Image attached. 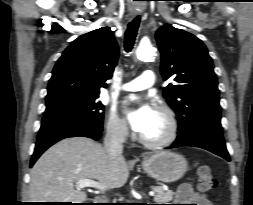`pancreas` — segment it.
Returning <instances> with one entry per match:
<instances>
[{
    "label": "pancreas",
    "mask_w": 253,
    "mask_h": 205,
    "mask_svg": "<svg viewBox=\"0 0 253 205\" xmlns=\"http://www.w3.org/2000/svg\"><path fill=\"white\" fill-rule=\"evenodd\" d=\"M152 190L154 191V201L158 204H163L169 202L173 199L172 191H164L161 186H152Z\"/></svg>",
    "instance_id": "obj_1"
}]
</instances>
